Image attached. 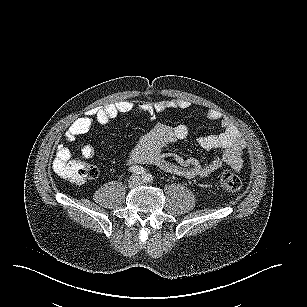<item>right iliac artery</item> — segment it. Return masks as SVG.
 Instances as JSON below:
<instances>
[{
    "instance_id": "1",
    "label": "right iliac artery",
    "mask_w": 307,
    "mask_h": 307,
    "mask_svg": "<svg viewBox=\"0 0 307 307\" xmlns=\"http://www.w3.org/2000/svg\"><path fill=\"white\" fill-rule=\"evenodd\" d=\"M129 172L134 173V174H138V175H142V178L144 176H146L145 169L143 167H139V166L130 167Z\"/></svg>"
}]
</instances>
